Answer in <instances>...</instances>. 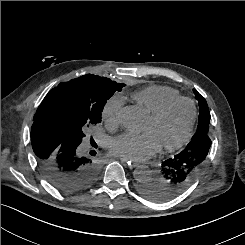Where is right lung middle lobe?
<instances>
[{
	"label": "right lung middle lobe",
	"instance_id": "right-lung-middle-lobe-1",
	"mask_svg": "<svg viewBox=\"0 0 245 245\" xmlns=\"http://www.w3.org/2000/svg\"><path fill=\"white\" fill-rule=\"evenodd\" d=\"M74 80L60 84L59 90L46 101L42 120L66 138L81 143L87 127L101 122L107 100L125 84L93 74Z\"/></svg>",
	"mask_w": 245,
	"mask_h": 245
}]
</instances>
